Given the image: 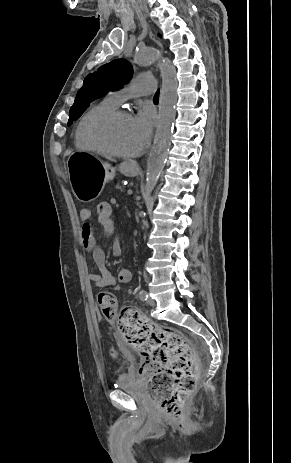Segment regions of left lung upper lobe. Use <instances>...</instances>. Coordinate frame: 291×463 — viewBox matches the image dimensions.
<instances>
[{
    "instance_id": "1",
    "label": "left lung upper lobe",
    "mask_w": 291,
    "mask_h": 463,
    "mask_svg": "<svg viewBox=\"0 0 291 463\" xmlns=\"http://www.w3.org/2000/svg\"><path fill=\"white\" fill-rule=\"evenodd\" d=\"M131 74L130 63L124 59H117L99 67L97 72L87 75L70 109L68 125L78 119L92 101L127 83Z\"/></svg>"
}]
</instances>
